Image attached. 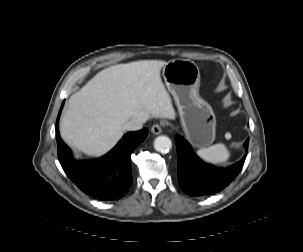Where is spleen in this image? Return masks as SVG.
Instances as JSON below:
<instances>
[{"instance_id":"1","label":"spleen","mask_w":303,"mask_h":252,"mask_svg":"<svg viewBox=\"0 0 303 252\" xmlns=\"http://www.w3.org/2000/svg\"><path fill=\"white\" fill-rule=\"evenodd\" d=\"M197 154L200 158L212 164L225 163L230 157V152L222 143H218L207 148H200L197 151Z\"/></svg>"}]
</instances>
